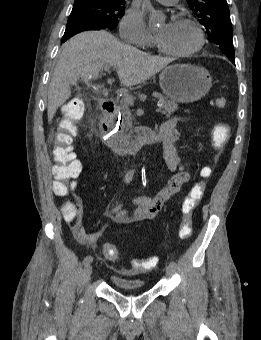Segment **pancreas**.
Masks as SVG:
<instances>
[{
	"label": "pancreas",
	"instance_id": "pancreas-1",
	"mask_svg": "<svg viewBox=\"0 0 261 340\" xmlns=\"http://www.w3.org/2000/svg\"><path fill=\"white\" fill-rule=\"evenodd\" d=\"M153 96L162 103V114H165L167 117H170L178 109V104L175 101L167 99L162 94L154 93ZM122 118L121 130L119 131L120 135H123L132 127V115L127 104H123L122 106Z\"/></svg>",
	"mask_w": 261,
	"mask_h": 340
}]
</instances>
